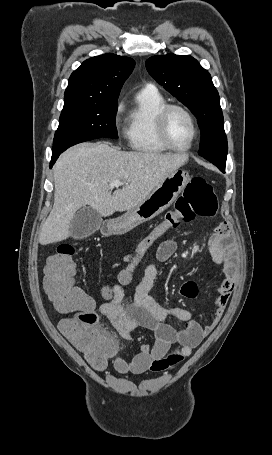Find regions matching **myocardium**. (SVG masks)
Masks as SVG:
<instances>
[{"mask_svg":"<svg viewBox=\"0 0 272 455\" xmlns=\"http://www.w3.org/2000/svg\"><path fill=\"white\" fill-rule=\"evenodd\" d=\"M172 110H179V111L183 112L188 117V119L191 123V126H192V130H193L192 138H191L189 144L184 147H178V146L174 145L168 136L167 118H168L169 113ZM155 124H156L157 135H158L160 141L162 142V144L165 147H167L168 149L176 151V152H186V151L190 150L193 147V145L196 142L198 135H199L198 124H197V121H196L194 115L188 108H186L185 106H183L181 104L166 103L165 105H163L156 114Z\"/></svg>","mask_w":272,"mask_h":455,"instance_id":"f54148a6","label":"myocardium"}]
</instances>
